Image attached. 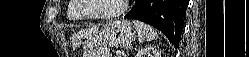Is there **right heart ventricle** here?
I'll return each mask as SVG.
<instances>
[{
	"instance_id": "obj_1",
	"label": "right heart ventricle",
	"mask_w": 249,
	"mask_h": 57,
	"mask_svg": "<svg viewBox=\"0 0 249 57\" xmlns=\"http://www.w3.org/2000/svg\"><path fill=\"white\" fill-rule=\"evenodd\" d=\"M67 18L69 20H73V21L82 19V17L76 11V2H75V0L70 1V5H69V7L67 9Z\"/></svg>"
}]
</instances>
